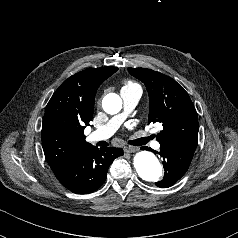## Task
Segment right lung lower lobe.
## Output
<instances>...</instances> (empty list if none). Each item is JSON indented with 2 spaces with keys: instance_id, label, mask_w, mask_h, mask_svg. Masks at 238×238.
<instances>
[{
  "instance_id": "98d812e1",
  "label": "right lung lower lobe",
  "mask_w": 238,
  "mask_h": 238,
  "mask_svg": "<svg viewBox=\"0 0 238 238\" xmlns=\"http://www.w3.org/2000/svg\"><path fill=\"white\" fill-rule=\"evenodd\" d=\"M123 155L122 148H97L86 150L70 167L55 176L61 184L76 194L96 191L107 178L112 161Z\"/></svg>"
}]
</instances>
